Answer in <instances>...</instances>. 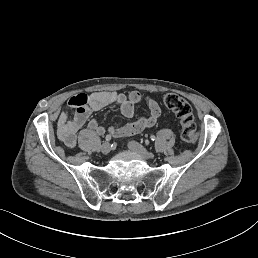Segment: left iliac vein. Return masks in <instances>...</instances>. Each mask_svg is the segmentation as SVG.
<instances>
[{
  "mask_svg": "<svg viewBox=\"0 0 258 258\" xmlns=\"http://www.w3.org/2000/svg\"><path fill=\"white\" fill-rule=\"evenodd\" d=\"M129 148L132 149L133 153H138L143 159L150 160L153 158V153L150 151H146L141 145H138V143L134 142V144H129Z\"/></svg>",
  "mask_w": 258,
  "mask_h": 258,
  "instance_id": "4c4485c4",
  "label": "left iliac vein"
}]
</instances>
